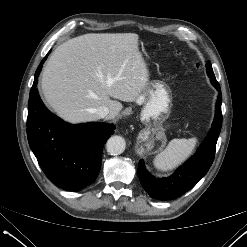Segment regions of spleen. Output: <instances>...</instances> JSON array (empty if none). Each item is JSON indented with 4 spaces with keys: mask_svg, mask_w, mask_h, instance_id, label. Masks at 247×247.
I'll use <instances>...</instances> for the list:
<instances>
[{
    "mask_svg": "<svg viewBox=\"0 0 247 247\" xmlns=\"http://www.w3.org/2000/svg\"><path fill=\"white\" fill-rule=\"evenodd\" d=\"M197 138L173 139L153 160L154 166L161 171H169L184 162L194 151Z\"/></svg>",
    "mask_w": 247,
    "mask_h": 247,
    "instance_id": "obj_1",
    "label": "spleen"
}]
</instances>
